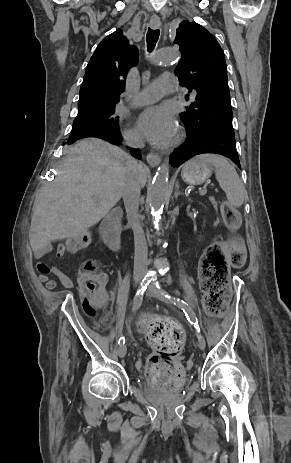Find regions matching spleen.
I'll return each instance as SVG.
<instances>
[{"label": "spleen", "mask_w": 291, "mask_h": 463, "mask_svg": "<svg viewBox=\"0 0 291 463\" xmlns=\"http://www.w3.org/2000/svg\"><path fill=\"white\" fill-rule=\"evenodd\" d=\"M198 158L214 165L216 179L226 193L228 202L237 208L241 207L244 202L245 187L229 161L215 154H203Z\"/></svg>", "instance_id": "obj_1"}]
</instances>
